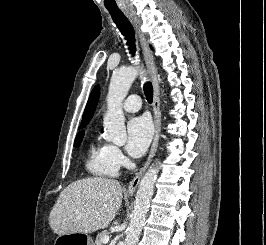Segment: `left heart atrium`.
Returning a JSON list of instances; mask_svg holds the SVG:
<instances>
[{"mask_svg":"<svg viewBox=\"0 0 266 245\" xmlns=\"http://www.w3.org/2000/svg\"><path fill=\"white\" fill-rule=\"evenodd\" d=\"M153 135L151 121L140 116L132 119L127 124L126 151L132 157L141 156L148 147Z\"/></svg>","mask_w":266,"mask_h":245,"instance_id":"1","label":"left heart atrium"}]
</instances>
